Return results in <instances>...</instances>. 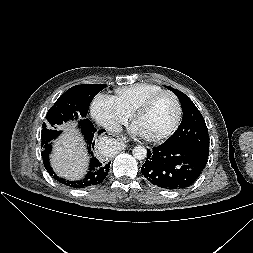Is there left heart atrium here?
Listing matches in <instances>:
<instances>
[{"mask_svg":"<svg viewBox=\"0 0 253 253\" xmlns=\"http://www.w3.org/2000/svg\"><path fill=\"white\" fill-rule=\"evenodd\" d=\"M131 132L137 136H144V134L140 131V129L136 125H133L131 127Z\"/></svg>","mask_w":253,"mask_h":253,"instance_id":"left-heart-atrium-1","label":"left heart atrium"}]
</instances>
